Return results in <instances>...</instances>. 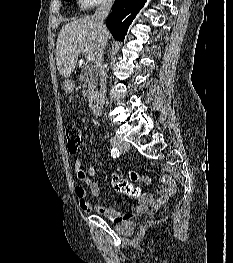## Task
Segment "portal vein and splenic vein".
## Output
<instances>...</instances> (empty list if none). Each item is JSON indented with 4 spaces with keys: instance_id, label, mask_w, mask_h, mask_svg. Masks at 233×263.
I'll return each mask as SVG.
<instances>
[{
    "instance_id": "portal-vein-and-splenic-vein-1",
    "label": "portal vein and splenic vein",
    "mask_w": 233,
    "mask_h": 263,
    "mask_svg": "<svg viewBox=\"0 0 233 263\" xmlns=\"http://www.w3.org/2000/svg\"><path fill=\"white\" fill-rule=\"evenodd\" d=\"M86 60H87V62H93L94 61V55L93 54H88L86 56Z\"/></svg>"
}]
</instances>
